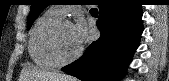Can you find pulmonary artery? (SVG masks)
Instances as JSON below:
<instances>
[{
  "label": "pulmonary artery",
  "mask_w": 169,
  "mask_h": 81,
  "mask_svg": "<svg viewBox=\"0 0 169 81\" xmlns=\"http://www.w3.org/2000/svg\"><path fill=\"white\" fill-rule=\"evenodd\" d=\"M51 9H53L55 12H57L62 17H64L69 11V8L66 6H54Z\"/></svg>",
  "instance_id": "e3ab8cb5"
}]
</instances>
